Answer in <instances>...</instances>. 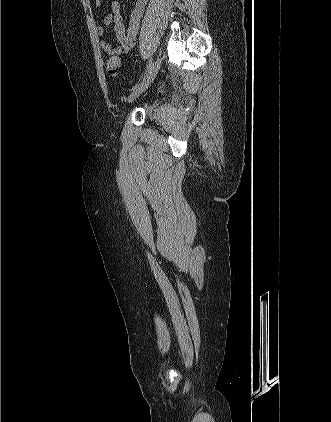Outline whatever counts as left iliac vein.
I'll return each mask as SVG.
<instances>
[{"instance_id":"4c4485c4","label":"left iliac vein","mask_w":331,"mask_h":422,"mask_svg":"<svg viewBox=\"0 0 331 422\" xmlns=\"http://www.w3.org/2000/svg\"><path fill=\"white\" fill-rule=\"evenodd\" d=\"M161 66V58L157 57L153 62L151 68L146 72L142 81L133 89L128 102H133L138 96H140L153 82Z\"/></svg>"}]
</instances>
